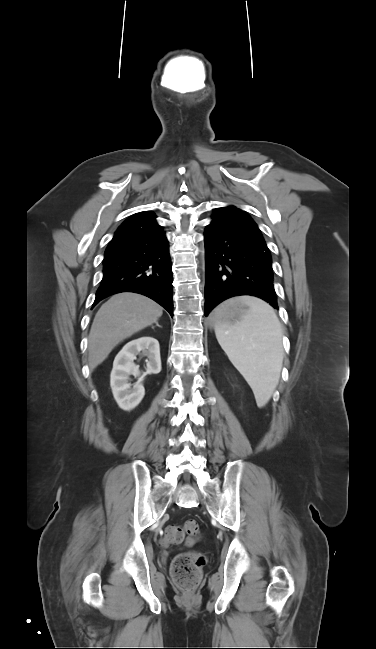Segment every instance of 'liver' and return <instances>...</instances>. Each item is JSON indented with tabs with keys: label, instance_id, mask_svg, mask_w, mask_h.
<instances>
[{
	"label": "liver",
	"instance_id": "1",
	"mask_svg": "<svg viewBox=\"0 0 376 649\" xmlns=\"http://www.w3.org/2000/svg\"><path fill=\"white\" fill-rule=\"evenodd\" d=\"M162 307L131 292L119 293L105 302L95 315L89 333V367L93 371L124 339L155 323Z\"/></svg>",
	"mask_w": 376,
	"mask_h": 649
}]
</instances>
